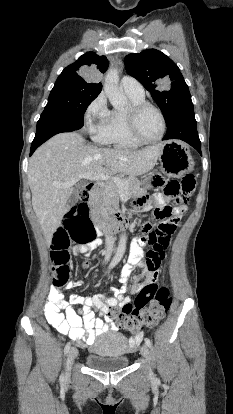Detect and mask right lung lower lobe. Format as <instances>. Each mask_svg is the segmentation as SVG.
<instances>
[{"mask_svg":"<svg viewBox=\"0 0 233 414\" xmlns=\"http://www.w3.org/2000/svg\"><path fill=\"white\" fill-rule=\"evenodd\" d=\"M83 127V121L76 120L58 112L44 110L37 123L35 138L30 155L45 141L62 132H71Z\"/></svg>","mask_w":233,"mask_h":414,"instance_id":"98d812e1","label":"right lung lower lobe"}]
</instances>
